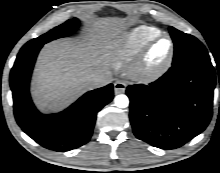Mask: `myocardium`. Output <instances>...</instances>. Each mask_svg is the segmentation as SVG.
Masks as SVG:
<instances>
[{
	"mask_svg": "<svg viewBox=\"0 0 220 173\" xmlns=\"http://www.w3.org/2000/svg\"><path fill=\"white\" fill-rule=\"evenodd\" d=\"M162 39H166L169 43L167 55L160 65L151 68L147 65L148 54L153 46ZM174 51V42L168 34L160 33L153 37L147 43H145L133 61L130 70L131 77L135 81L141 83H150L156 81L170 68L174 57Z\"/></svg>",
	"mask_w": 220,
	"mask_h": 173,
	"instance_id": "f54148a6",
	"label": "myocardium"
}]
</instances>
